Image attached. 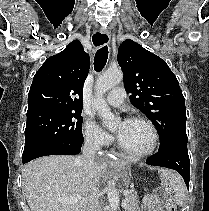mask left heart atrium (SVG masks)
Segmentation results:
<instances>
[{
    "label": "left heart atrium",
    "mask_w": 209,
    "mask_h": 211,
    "mask_svg": "<svg viewBox=\"0 0 209 211\" xmlns=\"http://www.w3.org/2000/svg\"><path fill=\"white\" fill-rule=\"evenodd\" d=\"M130 121H131V120H129V119H125V120L121 123L120 128H119V130L117 131V136H118V138L123 134V132L125 131V129H126L127 126L129 125Z\"/></svg>",
    "instance_id": "obj_1"
}]
</instances>
